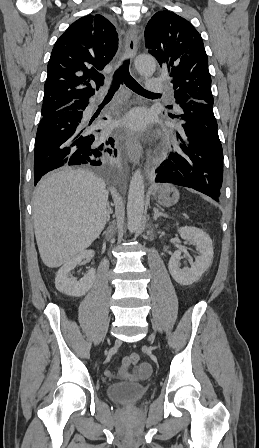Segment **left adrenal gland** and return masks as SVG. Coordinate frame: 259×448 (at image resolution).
<instances>
[{
	"label": "left adrenal gland",
	"instance_id": "a2214340",
	"mask_svg": "<svg viewBox=\"0 0 259 448\" xmlns=\"http://www.w3.org/2000/svg\"><path fill=\"white\" fill-rule=\"evenodd\" d=\"M154 212V220H157V218H159V216H163V218H169V216H167V214H162V212H159V210H157V208H154L153 210Z\"/></svg>",
	"mask_w": 259,
	"mask_h": 448
}]
</instances>
